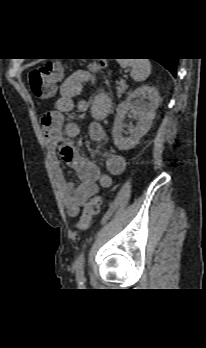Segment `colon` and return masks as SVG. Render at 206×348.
<instances>
[{
	"mask_svg": "<svg viewBox=\"0 0 206 348\" xmlns=\"http://www.w3.org/2000/svg\"><path fill=\"white\" fill-rule=\"evenodd\" d=\"M104 67L102 62H96L90 66L91 71L98 72ZM62 73L61 64L58 62L34 68L29 74L30 89L36 97H48L55 93L57 81ZM102 197L96 196L84 206L83 212L77 222L79 230L89 228L91 221L100 212Z\"/></svg>",
	"mask_w": 206,
	"mask_h": 348,
	"instance_id": "obj_1",
	"label": "colon"
}]
</instances>
